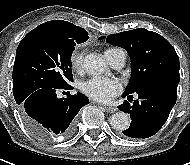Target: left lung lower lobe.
Here are the masks:
<instances>
[{
  "label": "left lung lower lobe",
  "mask_w": 190,
  "mask_h": 165,
  "mask_svg": "<svg viewBox=\"0 0 190 165\" xmlns=\"http://www.w3.org/2000/svg\"><path fill=\"white\" fill-rule=\"evenodd\" d=\"M178 83L159 79L148 82L133 92L138 94V99L133 104L125 100L118 106L119 110L129 113L132 120L123 134L131 138H148L156 134L176 103ZM131 94L124 93L123 98L127 96L129 100L132 98Z\"/></svg>",
  "instance_id": "1"
}]
</instances>
